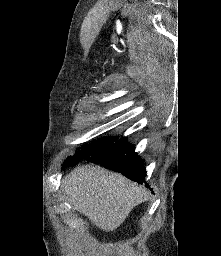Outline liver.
<instances>
[{
  "instance_id": "obj_1",
  "label": "liver",
  "mask_w": 221,
  "mask_h": 256,
  "mask_svg": "<svg viewBox=\"0 0 221 256\" xmlns=\"http://www.w3.org/2000/svg\"><path fill=\"white\" fill-rule=\"evenodd\" d=\"M61 187L75 210L107 232L118 228L146 194L123 175L90 165L71 171Z\"/></svg>"
}]
</instances>
